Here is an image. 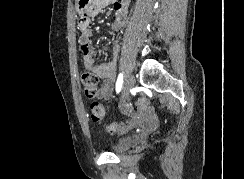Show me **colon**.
<instances>
[{
	"label": "colon",
	"instance_id": "colon-1",
	"mask_svg": "<svg viewBox=\"0 0 244 179\" xmlns=\"http://www.w3.org/2000/svg\"><path fill=\"white\" fill-rule=\"evenodd\" d=\"M81 82L83 85L84 93L88 96V93H95L99 86V78L97 75L89 70H84L81 74ZM151 98H140L139 102H134L133 106L136 110H149ZM91 118L95 122H101L106 117V110L103 103L95 99L93 105L90 106ZM131 127V124L123 125L121 123H113L107 126L109 132L116 133L122 132Z\"/></svg>",
	"mask_w": 244,
	"mask_h": 179
}]
</instances>
